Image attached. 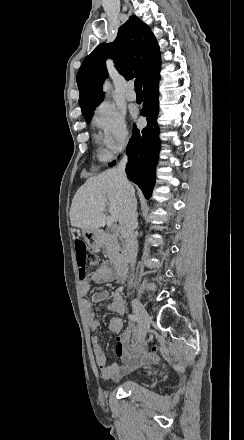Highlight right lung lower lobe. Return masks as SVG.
I'll list each match as a JSON object with an SVG mask.
<instances>
[{
	"instance_id": "obj_1",
	"label": "right lung lower lobe",
	"mask_w": 244,
	"mask_h": 440,
	"mask_svg": "<svg viewBox=\"0 0 244 440\" xmlns=\"http://www.w3.org/2000/svg\"><path fill=\"white\" fill-rule=\"evenodd\" d=\"M160 68L152 71L143 81L144 102L141 115L147 117V126L141 131L134 126L133 135L127 147V177L136 183L148 199L151 197L155 180V168L160 149L159 127L156 119L159 111L158 83ZM113 162L110 166H113Z\"/></svg>"
}]
</instances>
